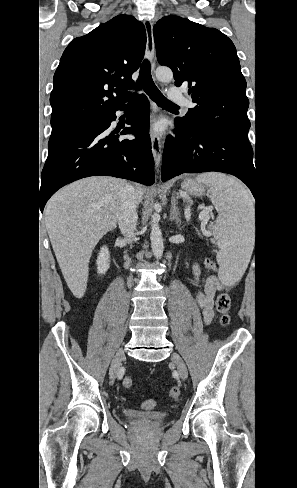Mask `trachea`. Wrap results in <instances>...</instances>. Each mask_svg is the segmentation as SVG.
<instances>
[{"instance_id": "obj_1", "label": "trachea", "mask_w": 297, "mask_h": 488, "mask_svg": "<svg viewBox=\"0 0 297 488\" xmlns=\"http://www.w3.org/2000/svg\"><path fill=\"white\" fill-rule=\"evenodd\" d=\"M136 87L137 90L144 88V91L148 94V96L161 107H178L176 104L164 97L154 84L151 76V65L148 60H144L141 65Z\"/></svg>"}]
</instances>
